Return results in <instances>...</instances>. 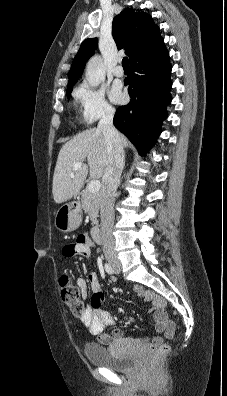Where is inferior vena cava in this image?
I'll return each mask as SVG.
<instances>
[{
    "instance_id": "602c4592",
    "label": "inferior vena cava",
    "mask_w": 227,
    "mask_h": 396,
    "mask_svg": "<svg viewBox=\"0 0 227 396\" xmlns=\"http://www.w3.org/2000/svg\"><path fill=\"white\" fill-rule=\"evenodd\" d=\"M114 114V109H107L98 123V130L103 133L109 152L108 164L102 177L100 196L101 237L106 257L115 255L114 201L124 164V151L120 136L113 126Z\"/></svg>"
}]
</instances>
